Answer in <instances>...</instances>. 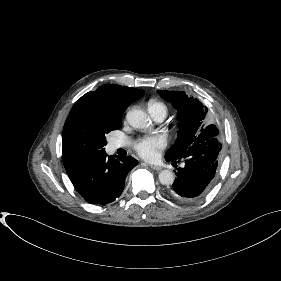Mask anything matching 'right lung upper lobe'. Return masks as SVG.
<instances>
[{
  "mask_svg": "<svg viewBox=\"0 0 281 281\" xmlns=\"http://www.w3.org/2000/svg\"><path fill=\"white\" fill-rule=\"evenodd\" d=\"M144 95V91L115 84L103 85L80 99L92 100L108 112L122 116L126 108ZM67 172L73 168H65Z\"/></svg>",
  "mask_w": 281,
  "mask_h": 281,
  "instance_id": "right-lung-upper-lobe-1",
  "label": "right lung upper lobe"
}]
</instances>
